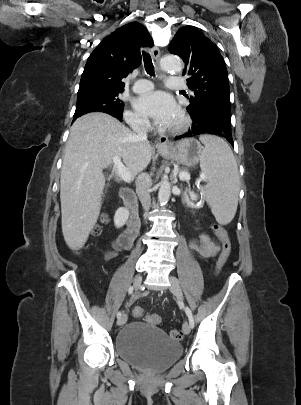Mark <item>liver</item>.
I'll return each instance as SVG.
<instances>
[{"instance_id": "obj_1", "label": "liver", "mask_w": 301, "mask_h": 405, "mask_svg": "<svg viewBox=\"0 0 301 405\" xmlns=\"http://www.w3.org/2000/svg\"><path fill=\"white\" fill-rule=\"evenodd\" d=\"M153 152L148 141L108 114L89 113L73 123L60 177L62 232L70 248H81L97 222L106 187L102 170L118 156L133 178Z\"/></svg>"}]
</instances>
